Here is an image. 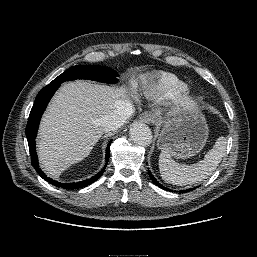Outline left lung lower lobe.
<instances>
[{"mask_svg":"<svg viewBox=\"0 0 257 257\" xmlns=\"http://www.w3.org/2000/svg\"><path fill=\"white\" fill-rule=\"evenodd\" d=\"M149 172V175H150V178L152 179V181L158 186V187H160V188H162V189H164V190H169L168 188H166V187H164V186H162L160 183H158V181L154 178V176L150 173V171H148ZM196 188V187H195ZM195 188H191V189H187V190H182V191H180V192H189V191H191V190H194ZM169 191H171V190H169Z\"/></svg>","mask_w":257,"mask_h":257,"instance_id":"1","label":"left lung lower lobe"}]
</instances>
